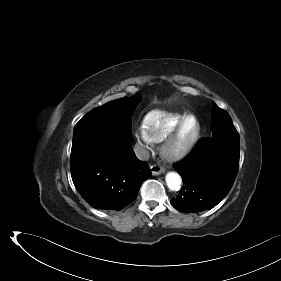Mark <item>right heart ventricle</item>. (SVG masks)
<instances>
[{
  "label": "right heart ventricle",
  "instance_id": "right-heart-ventricle-1",
  "mask_svg": "<svg viewBox=\"0 0 281 281\" xmlns=\"http://www.w3.org/2000/svg\"><path fill=\"white\" fill-rule=\"evenodd\" d=\"M187 113L155 109L146 114L143 129L153 143L161 142Z\"/></svg>",
  "mask_w": 281,
  "mask_h": 281
}]
</instances>
